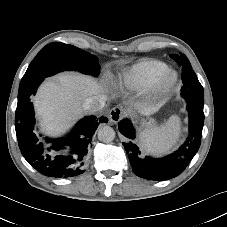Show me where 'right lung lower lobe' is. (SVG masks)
Here are the masks:
<instances>
[{"label":"right lung lower lobe","instance_id":"right-lung-lower-lobe-1","mask_svg":"<svg viewBox=\"0 0 227 227\" xmlns=\"http://www.w3.org/2000/svg\"><path fill=\"white\" fill-rule=\"evenodd\" d=\"M42 81L43 79H39L19 89L15 114L19 148L28 163L43 175L63 178L77 176L84 172L83 166L86 162L87 153L92 146L91 141L94 132L100 123L108 122V119L101 117L98 121L94 116L85 117L64 139L51 140L45 138V142L41 141L36 134L37 126L31 96L35 95ZM63 146H70L73 155L53 157L51 153Z\"/></svg>","mask_w":227,"mask_h":227}]
</instances>
